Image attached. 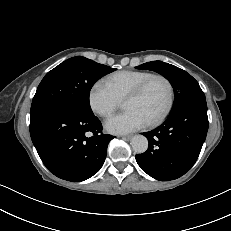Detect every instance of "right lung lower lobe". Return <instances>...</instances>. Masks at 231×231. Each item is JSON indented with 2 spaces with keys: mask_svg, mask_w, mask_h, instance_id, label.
Returning a JSON list of instances; mask_svg holds the SVG:
<instances>
[{
  "mask_svg": "<svg viewBox=\"0 0 231 231\" xmlns=\"http://www.w3.org/2000/svg\"><path fill=\"white\" fill-rule=\"evenodd\" d=\"M30 135L47 169L73 182L86 180L100 170L114 138L102 133L101 122L93 113L71 105L55 107L30 122Z\"/></svg>",
  "mask_w": 231,
  "mask_h": 231,
  "instance_id": "obj_1",
  "label": "right lung lower lobe"
}]
</instances>
